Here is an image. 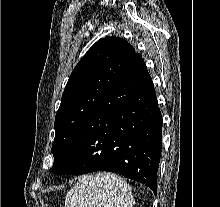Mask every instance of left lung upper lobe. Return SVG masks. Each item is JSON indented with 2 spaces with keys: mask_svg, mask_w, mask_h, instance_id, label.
Here are the masks:
<instances>
[{
  "mask_svg": "<svg viewBox=\"0 0 220 207\" xmlns=\"http://www.w3.org/2000/svg\"><path fill=\"white\" fill-rule=\"evenodd\" d=\"M135 55V49L125 39L106 37L97 41L78 62L65 86L55 117L52 168Z\"/></svg>",
  "mask_w": 220,
  "mask_h": 207,
  "instance_id": "5c2ea615",
  "label": "left lung upper lobe"
}]
</instances>
